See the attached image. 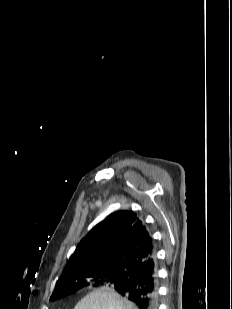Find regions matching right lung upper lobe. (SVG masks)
Masks as SVG:
<instances>
[{
	"label": "right lung upper lobe",
	"instance_id": "obj_1",
	"mask_svg": "<svg viewBox=\"0 0 232 309\" xmlns=\"http://www.w3.org/2000/svg\"><path fill=\"white\" fill-rule=\"evenodd\" d=\"M153 255L152 237L139 217L116 211L81 240L57 283L93 270L126 272Z\"/></svg>",
	"mask_w": 232,
	"mask_h": 309
}]
</instances>
